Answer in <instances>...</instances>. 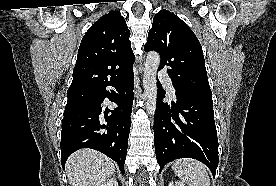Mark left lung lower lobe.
Wrapping results in <instances>:
<instances>
[{
    "instance_id": "obj_1",
    "label": "left lung lower lobe",
    "mask_w": 276,
    "mask_h": 186,
    "mask_svg": "<svg viewBox=\"0 0 276 186\" xmlns=\"http://www.w3.org/2000/svg\"><path fill=\"white\" fill-rule=\"evenodd\" d=\"M157 86L153 128L160 172L175 159L193 158L204 163L215 176L219 157L212 95L175 90L177 101L169 105L162 101L166 92L158 79Z\"/></svg>"
}]
</instances>
